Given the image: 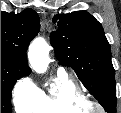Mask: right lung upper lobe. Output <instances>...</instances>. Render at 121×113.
Returning <instances> with one entry per match:
<instances>
[{
    "label": "right lung upper lobe",
    "instance_id": "1",
    "mask_svg": "<svg viewBox=\"0 0 121 113\" xmlns=\"http://www.w3.org/2000/svg\"><path fill=\"white\" fill-rule=\"evenodd\" d=\"M38 14L27 8L20 14L1 11V59L8 60L28 72L26 50L30 41L38 34Z\"/></svg>",
    "mask_w": 121,
    "mask_h": 113
}]
</instances>
